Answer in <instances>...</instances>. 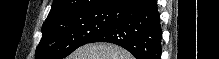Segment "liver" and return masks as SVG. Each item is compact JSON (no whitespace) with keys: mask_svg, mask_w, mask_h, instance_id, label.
Returning <instances> with one entry per match:
<instances>
[{"mask_svg":"<svg viewBox=\"0 0 219 59\" xmlns=\"http://www.w3.org/2000/svg\"><path fill=\"white\" fill-rule=\"evenodd\" d=\"M67 59H134L123 48L106 43L86 44L75 50Z\"/></svg>","mask_w":219,"mask_h":59,"instance_id":"6515ba94","label":"liver"}]
</instances>
